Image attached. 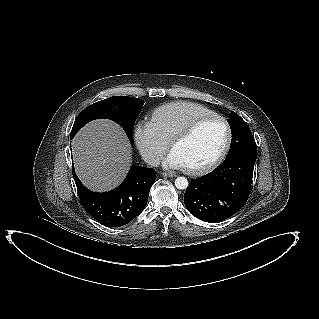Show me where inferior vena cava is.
<instances>
[{
  "instance_id": "1",
  "label": "inferior vena cava",
  "mask_w": 319,
  "mask_h": 319,
  "mask_svg": "<svg viewBox=\"0 0 319 319\" xmlns=\"http://www.w3.org/2000/svg\"><path fill=\"white\" fill-rule=\"evenodd\" d=\"M142 157H143V160L151 166H158L160 164L159 158L153 154L146 153V154H143Z\"/></svg>"
}]
</instances>
